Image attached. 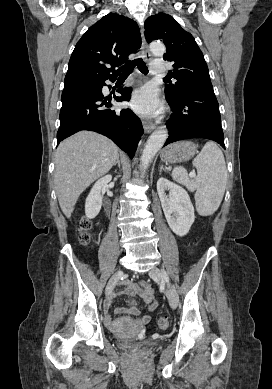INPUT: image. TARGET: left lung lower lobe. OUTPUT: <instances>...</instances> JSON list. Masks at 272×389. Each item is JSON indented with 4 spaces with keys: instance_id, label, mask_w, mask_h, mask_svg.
<instances>
[{
    "instance_id": "left-lung-lower-lobe-1",
    "label": "left lung lower lobe",
    "mask_w": 272,
    "mask_h": 389,
    "mask_svg": "<svg viewBox=\"0 0 272 389\" xmlns=\"http://www.w3.org/2000/svg\"><path fill=\"white\" fill-rule=\"evenodd\" d=\"M166 98L173 114L168 120L169 137L164 146L183 139L204 138L225 148L219 105L212 85L183 88L177 98Z\"/></svg>"
}]
</instances>
